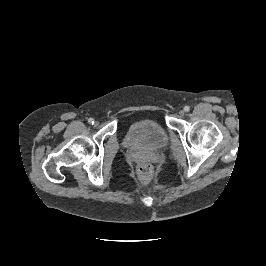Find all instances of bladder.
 <instances>
[{"instance_id":"1","label":"bladder","mask_w":266,"mask_h":266,"mask_svg":"<svg viewBox=\"0 0 266 266\" xmlns=\"http://www.w3.org/2000/svg\"><path fill=\"white\" fill-rule=\"evenodd\" d=\"M123 142L126 148L135 152L151 151L165 148L169 143V136L157 121L143 119L127 127Z\"/></svg>"}]
</instances>
